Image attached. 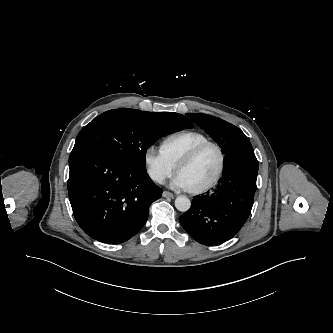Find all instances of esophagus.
<instances>
[{"label": "esophagus", "instance_id": "34e87169", "mask_svg": "<svg viewBox=\"0 0 333 333\" xmlns=\"http://www.w3.org/2000/svg\"><path fill=\"white\" fill-rule=\"evenodd\" d=\"M162 196L164 198H173L174 195L169 191H163Z\"/></svg>", "mask_w": 333, "mask_h": 333}]
</instances>
